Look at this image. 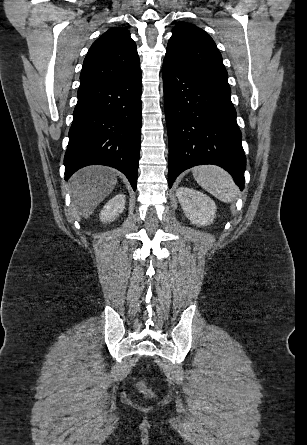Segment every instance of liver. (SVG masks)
Listing matches in <instances>:
<instances>
[{
	"label": "liver",
	"instance_id": "obj_1",
	"mask_svg": "<svg viewBox=\"0 0 307 445\" xmlns=\"http://www.w3.org/2000/svg\"><path fill=\"white\" fill-rule=\"evenodd\" d=\"M110 166H85L70 178L72 206L83 218H88L94 208L112 192L117 178Z\"/></svg>",
	"mask_w": 307,
	"mask_h": 445
}]
</instances>
